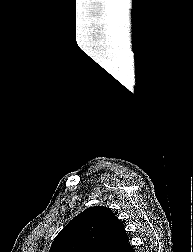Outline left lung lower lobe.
I'll return each mask as SVG.
<instances>
[{
	"mask_svg": "<svg viewBox=\"0 0 193 252\" xmlns=\"http://www.w3.org/2000/svg\"><path fill=\"white\" fill-rule=\"evenodd\" d=\"M124 252H135V251L132 249L131 245L128 244V246L126 247V249L124 250Z\"/></svg>",
	"mask_w": 193,
	"mask_h": 252,
	"instance_id": "1",
	"label": "left lung lower lobe"
}]
</instances>
